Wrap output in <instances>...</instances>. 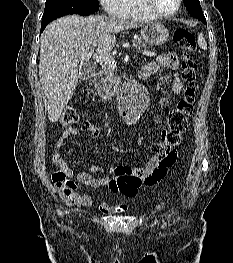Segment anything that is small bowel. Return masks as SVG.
Segmentation results:
<instances>
[{
    "label": "small bowel",
    "mask_w": 233,
    "mask_h": 263,
    "mask_svg": "<svg viewBox=\"0 0 233 263\" xmlns=\"http://www.w3.org/2000/svg\"><path fill=\"white\" fill-rule=\"evenodd\" d=\"M179 60L176 54H163L160 55L154 62L147 64L143 71L147 76L154 74L162 69L176 70L178 68ZM172 89L174 93L180 94L183 90V81L178 73L173 75ZM79 133L78 128L70 127L65 129L53 150V160L55 164L63 171L68 180L72 177H76L78 182L87 187L97 189H109L113 194L120 195L125 198H134L137 196L139 189L145 186H151L154 184H148L145 181V176L152 172L160 162V158L155 156L144 167H131L128 165H119L105 169L101 166L92 165L86 170H78L76 165H69L63 158L62 150L70 135H77ZM131 169L132 171H138V173H124L123 169ZM95 173H100L101 176L95 177ZM56 189L61 196L77 206H90L94 201V197L91 194L80 195L75 192V188H69L65 183H55ZM99 210L105 214L121 213L125 210L124 205H113L107 201L99 204Z\"/></svg>",
    "instance_id": "1"
}]
</instances>
